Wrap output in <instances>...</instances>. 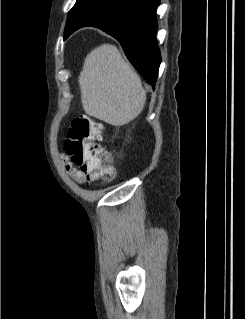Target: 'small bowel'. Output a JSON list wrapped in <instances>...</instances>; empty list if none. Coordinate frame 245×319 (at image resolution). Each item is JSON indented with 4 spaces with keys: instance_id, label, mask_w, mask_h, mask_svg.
<instances>
[{
    "instance_id": "1",
    "label": "small bowel",
    "mask_w": 245,
    "mask_h": 319,
    "mask_svg": "<svg viewBox=\"0 0 245 319\" xmlns=\"http://www.w3.org/2000/svg\"><path fill=\"white\" fill-rule=\"evenodd\" d=\"M61 161L64 164V169L73 179L76 181H83L84 175L81 173L80 170H78L76 167H74L68 160V158L64 155L61 156Z\"/></svg>"
}]
</instances>
